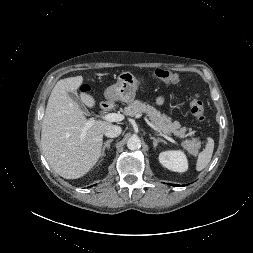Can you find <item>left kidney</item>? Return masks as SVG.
<instances>
[{
    "label": "left kidney",
    "mask_w": 253,
    "mask_h": 253,
    "mask_svg": "<svg viewBox=\"0 0 253 253\" xmlns=\"http://www.w3.org/2000/svg\"><path fill=\"white\" fill-rule=\"evenodd\" d=\"M160 163L175 172H185L188 169L186 155L182 151H163L159 154Z\"/></svg>",
    "instance_id": "left-kidney-1"
}]
</instances>
